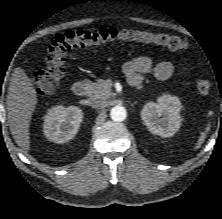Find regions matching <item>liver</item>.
I'll list each match as a JSON object with an SVG mask.
<instances>
[{"instance_id": "1", "label": "liver", "mask_w": 222, "mask_h": 219, "mask_svg": "<svg viewBox=\"0 0 222 219\" xmlns=\"http://www.w3.org/2000/svg\"><path fill=\"white\" fill-rule=\"evenodd\" d=\"M37 104V93L26 72L17 67L11 77L7 95V119L15 142L25 153L30 149L29 126Z\"/></svg>"}]
</instances>
